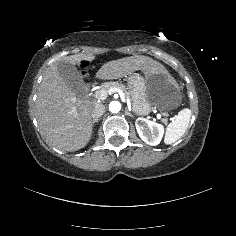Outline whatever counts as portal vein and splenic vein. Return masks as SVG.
<instances>
[{
    "mask_svg": "<svg viewBox=\"0 0 236 236\" xmlns=\"http://www.w3.org/2000/svg\"><path fill=\"white\" fill-rule=\"evenodd\" d=\"M115 91L118 92V94L120 95L121 101L122 102H126V98H125V94L123 93L122 90H120L119 88H111L109 90H105V89H101L99 91H96V97L100 100H104L107 98L108 93ZM72 113L75 117L78 116L77 114V110L75 107L72 108ZM157 118L160 119L161 118V114H157ZM71 126H67V128H69Z\"/></svg>",
    "mask_w": 236,
    "mask_h": 236,
    "instance_id": "portal-vein-and-splenic-vein-1",
    "label": "portal vein and splenic vein"
}]
</instances>
